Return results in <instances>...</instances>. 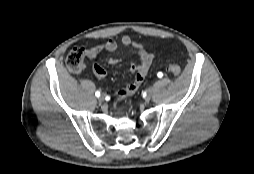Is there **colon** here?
<instances>
[{
    "label": "colon",
    "mask_w": 254,
    "mask_h": 174,
    "mask_svg": "<svg viewBox=\"0 0 254 174\" xmlns=\"http://www.w3.org/2000/svg\"><path fill=\"white\" fill-rule=\"evenodd\" d=\"M66 67L70 72L78 73L85 68L86 65V51L81 46L73 47L66 57ZM169 72L173 76H178L181 73V68L177 64H170L168 66Z\"/></svg>",
    "instance_id": "1"
}]
</instances>
